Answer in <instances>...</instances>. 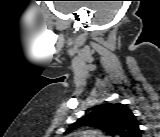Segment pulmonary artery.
<instances>
[{"label": "pulmonary artery", "mask_w": 160, "mask_h": 137, "mask_svg": "<svg viewBox=\"0 0 160 137\" xmlns=\"http://www.w3.org/2000/svg\"><path fill=\"white\" fill-rule=\"evenodd\" d=\"M83 137H94V135H84Z\"/></svg>", "instance_id": "pulmonary-artery-1"}]
</instances>
